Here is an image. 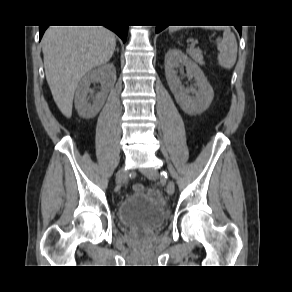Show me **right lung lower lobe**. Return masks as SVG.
Instances as JSON below:
<instances>
[{"label":"right lung lower lobe","instance_id":"right-lung-lower-lobe-1","mask_svg":"<svg viewBox=\"0 0 292 292\" xmlns=\"http://www.w3.org/2000/svg\"><path fill=\"white\" fill-rule=\"evenodd\" d=\"M107 28L111 29L114 31L122 40L123 42L126 41L127 39V32H128V26L126 25H105ZM47 27L44 26H39V31H40V39L42 38L44 31L46 30Z\"/></svg>","mask_w":292,"mask_h":292}]
</instances>
